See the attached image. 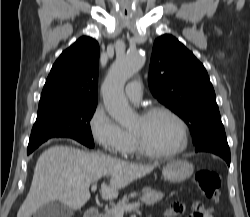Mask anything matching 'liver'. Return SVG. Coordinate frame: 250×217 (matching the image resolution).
Returning a JSON list of instances; mask_svg holds the SVG:
<instances>
[{"mask_svg":"<svg viewBox=\"0 0 250 217\" xmlns=\"http://www.w3.org/2000/svg\"><path fill=\"white\" fill-rule=\"evenodd\" d=\"M154 167L71 146H53L38 158L29 193L17 217H31L41 206L55 201L78 210L90 199V185L103 176H110V182L102 183L101 196L114 199L121 188L149 174Z\"/></svg>","mask_w":250,"mask_h":217,"instance_id":"liver-1","label":"liver"}]
</instances>
